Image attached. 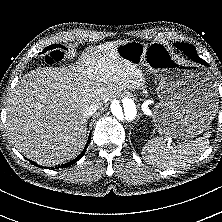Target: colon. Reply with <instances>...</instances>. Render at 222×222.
Returning <instances> with one entry per match:
<instances>
[{
    "label": "colon",
    "instance_id": "5ec220e1",
    "mask_svg": "<svg viewBox=\"0 0 222 222\" xmlns=\"http://www.w3.org/2000/svg\"><path fill=\"white\" fill-rule=\"evenodd\" d=\"M63 59V55L59 52H52L46 57V62L48 64H54Z\"/></svg>",
    "mask_w": 222,
    "mask_h": 222
}]
</instances>
